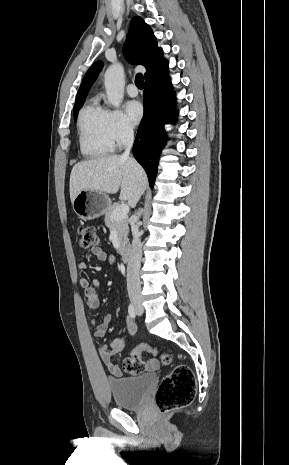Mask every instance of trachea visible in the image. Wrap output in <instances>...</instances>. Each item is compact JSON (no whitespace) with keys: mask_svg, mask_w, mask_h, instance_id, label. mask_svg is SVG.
<instances>
[{"mask_svg":"<svg viewBox=\"0 0 289 465\" xmlns=\"http://www.w3.org/2000/svg\"><path fill=\"white\" fill-rule=\"evenodd\" d=\"M135 84L139 89H143L144 87V78L143 75L138 73L135 77Z\"/></svg>","mask_w":289,"mask_h":465,"instance_id":"1","label":"trachea"}]
</instances>
